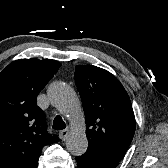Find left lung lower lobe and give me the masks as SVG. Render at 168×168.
<instances>
[{"instance_id": "left-lung-lower-lobe-1", "label": "left lung lower lobe", "mask_w": 168, "mask_h": 168, "mask_svg": "<svg viewBox=\"0 0 168 168\" xmlns=\"http://www.w3.org/2000/svg\"><path fill=\"white\" fill-rule=\"evenodd\" d=\"M75 159L78 162V168H115L120 162L105 153L90 148Z\"/></svg>"}]
</instances>
